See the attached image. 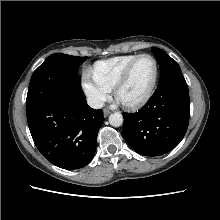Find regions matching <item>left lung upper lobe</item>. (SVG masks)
Wrapping results in <instances>:
<instances>
[{
    "label": "left lung upper lobe",
    "mask_w": 220,
    "mask_h": 220,
    "mask_svg": "<svg viewBox=\"0 0 220 220\" xmlns=\"http://www.w3.org/2000/svg\"><path fill=\"white\" fill-rule=\"evenodd\" d=\"M156 60L159 64L161 76L158 86L174 79L183 78V74L178 63L172 59L166 52L158 48H152Z\"/></svg>",
    "instance_id": "5c2ea615"
}]
</instances>
